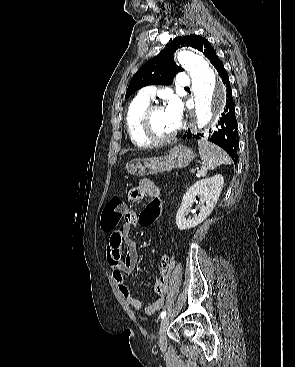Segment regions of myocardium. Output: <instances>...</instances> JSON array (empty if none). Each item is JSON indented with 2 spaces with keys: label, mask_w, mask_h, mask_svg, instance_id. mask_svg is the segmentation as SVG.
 <instances>
[{
  "label": "myocardium",
  "mask_w": 295,
  "mask_h": 367,
  "mask_svg": "<svg viewBox=\"0 0 295 367\" xmlns=\"http://www.w3.org/2000/svg\"><path fill=\"white\" fill-rule=\"evenodd\" d=\"M163 106L159 103L149 104L148 107L144 110L141 121H140V128L143 136L153 144H165L173 141L179 134L180 127H178L175 132H173L169 136H160L155 133L153 126H152V118L154 113L162 109Z\"/></svg>",
  "instance_id": "myocardium-1"
}]
</instances>
